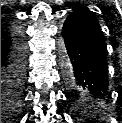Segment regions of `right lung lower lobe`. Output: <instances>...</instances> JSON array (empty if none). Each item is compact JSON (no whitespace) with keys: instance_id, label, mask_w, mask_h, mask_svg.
Listing matches in <instances>:
<instances>
[{"instance_id":"98d812e1","label":"right lung lower lobe","mask_w":122,"mask_h":123,"mask_svg":"<svg viewBox=\"0 0 122 123\" xmlns=\"http://www.w3.org/2000/svg\"><path fill=\"white\" fill-rule=\"evenodd\" d=\"M26 47L17 27L1 22V97H10L11 103L18 96L25 79ZM3 99V98H1Z\"/></svg>"}]
</instances>
